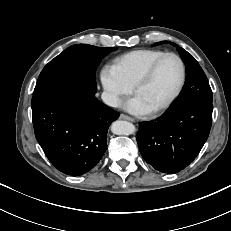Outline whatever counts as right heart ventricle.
<instances>
[{"label": "right heart ventricle", "instance_id": "obj_1", "mask_svg": "<svg viewBox=\"0 0 231 231\" xmlns=\"http://www.w3.org/2000/svg\"><path fill=\"white\" fill-rule=\"evenodd\" d=\"M165 52L157 49H138L125 53L113 61V68L131 87L145 69Z\"/></svg>", "mask_w": 231, "mask_h": 231}]
</instances>
